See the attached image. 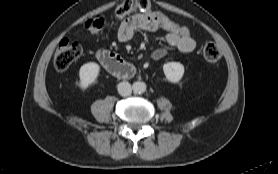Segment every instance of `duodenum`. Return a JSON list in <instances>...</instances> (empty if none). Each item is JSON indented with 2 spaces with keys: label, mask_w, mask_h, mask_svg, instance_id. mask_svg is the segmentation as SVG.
Segmentation results:
<instances>
[{
  "label": "duodenum",
  "mask_w": 278,
  "mask_h": 174,
  "mask_svg": "<svg viewBox=\"0 0 278 174\" xmlns=\"http://www.w3.org/2000/svg\"><path fill=\"white\" fill-rule=\"evenodd\" d=\"M98 59L104 68L113 75L124 77L133 71L132 66L115 53L100 51L98 53Z\"/></svg>",
  "instance_id": "obj_1"
}]
</instances>
